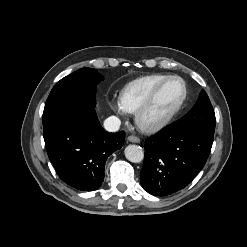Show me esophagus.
Here are the masks:
<instances>
[{"instance_id":"1","label":"esophagus","mask_w":247,"mask_h":247,"mask_svg":"<svg viewBox=\"0 0 247 247\" xmlns=\"http://www.w3.org/2000/svg\"><path fill=\"white\" fill-rule=\"evenodd\" d=\"M128 141L133 143H140V139L134 135L128 136Z\"/></svg>"}]
</instances>
